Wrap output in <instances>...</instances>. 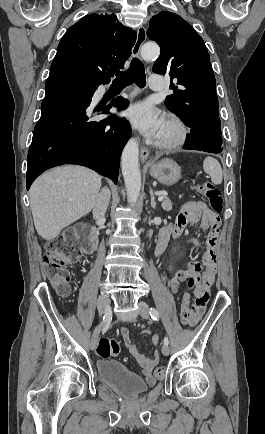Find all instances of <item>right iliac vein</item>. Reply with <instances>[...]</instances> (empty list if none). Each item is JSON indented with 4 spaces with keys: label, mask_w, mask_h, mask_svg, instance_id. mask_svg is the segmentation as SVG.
I'll use <instances>...</instances> for the list:
<instances>
[{
    "label": "right iliac vein",
    "mask_w": 265,
    "mask_h": 434,
    "mask_svg": "<svg viewBox=\"0 0 265 434\" xmlns=\"http://www.w3.org/2000/svg\"><path fill=\"white\" fill-rule=\"evenodd\" d=\"M97 306H98L99 313L102 316L104 314L105 310L108 307H110V300H109L108 296H106V295L99 296L98 300H97ZM101 327H102V323L99 324L98 326H96V328L94 329V332L92 334V337H91L92 350H95L98 346L99 332L101 330Z\"/></svg>",
    "instance_id": "1"
}]
</instances>
